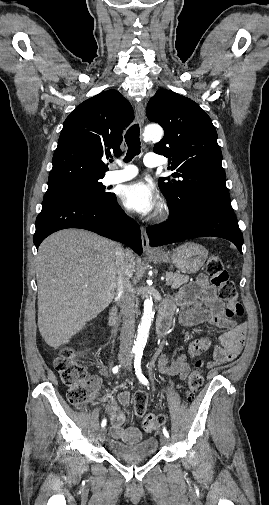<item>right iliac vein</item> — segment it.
<instances>
[{
  "instance_id": "right-iliac-vein-1",
  "label": "right iliac vein",
  "mask_w": 269,
  "mask_h": 505,
  "mask_svg": "<svg viewBox=\"0 0 269 505\" xmlns=\"http://www.w3.org/2000/svg\"><path fill=\"white\" fill-rule=\"evenodd\" d=\"M119 361H120L121 363H124V362H125V358H124V357H120V358H119ZM105 438H106V428H104V427H103V428L100 430L99 439H100V441H101V442H103V441L105 440Z\"/></svg>"
}]
</instances>
